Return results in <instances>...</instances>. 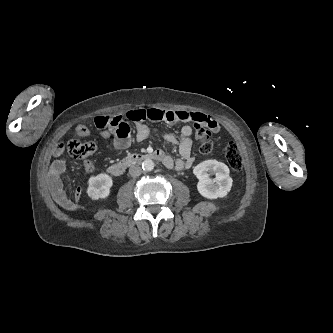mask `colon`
I'll return each instance as SVG.
<instances>
[{"label":"colon","mask_w":333,"mask_h":333,"mask_svg":"<svg viewBox=\"0 0 333 333\" xmlns=\"http://www.w3.org/2000/svg\"><path fill=\"white\" fill-rule=\"evenodd\" d=\"M160 120V117H156ZM94 123L100 129L108 128L116 131L121 135L129 132V122L127 115H102L95 118ZM78 136H84L88 129L84 125H78L75 129ZM195 137L200 141V152L209 154L213 149V143L209 130L203 125H197L195 128ZM67 150L73 157L82 159L92 155L97 150L95 142H81L77 139H70L66 143H59L56 147L55 154H60ZM225 158L233 171H240L242 168V156L234 142H229L225 148Z\"/></svg>","instance_id":"obj_1"}]
</instances>
